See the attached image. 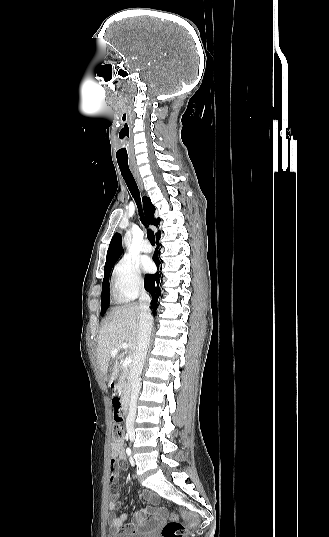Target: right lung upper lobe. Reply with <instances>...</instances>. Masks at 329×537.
<instances>
[{
    "label": "right lung upper lobe",
    "mask_w": 329,
    "mask_h": 537,
    "mask_svg": "<svg viewBox=\"0 0 329 537\" xmlns=\"http://www.w3.org/2000/svg\"><path fill=\"white\" fill-rule=\"evenodd\" d=\"M143 204H144L145 212L148 218V223L157 227L160 222V218H157V219L154 218L155 207L151 203L150 198L143 197ZM158 236H160V232H158L157 237ZM121 254H122V237L119 233H115L111 239V242L107 251V258H106L104 270L108 268L110 265L115 264L116 261L121 256Z\"/></svg>",
    "instance_id": "right-lung-upper-lobe-1"
}]
</instances>
